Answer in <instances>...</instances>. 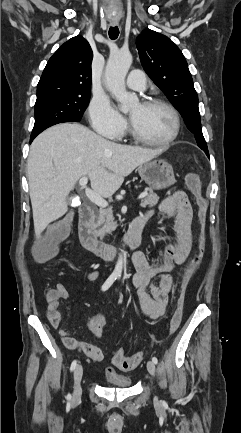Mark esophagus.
I'll return each mask as SVG.
<instances>
[{"label":"esophagus","mask_w":241,"mask_h":433,"mask_svg":"<svg viewBox=\"0 0 241 433\" xmlns=\"http://www.w3.org/2000/svg\"><path fill=\"white\" fill-rule=\"evenodd\" d=\"M112 24H113V25H116V24H117V22H112Z\"/></svg>","instance_id":"1"}]
</instances>
